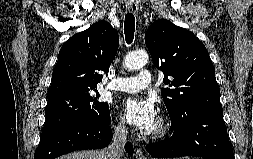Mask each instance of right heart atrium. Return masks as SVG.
Segmentation results:
<instances>
[{
  "label": "right heart atrium",
  "instance_id": "right-heart-atrium-1",
  "mask_svg": "<svg viewBox=\"0 0 253 159\" xmlns=\"http://www.w3.org/2000/svg\"><path fill=\"white\" fill-rule=\"evenodd\" d=\"M113 128L118 134H124L126 132V126L121 120H117L116 122H114Z\"/></svg>",
  "mask_w": 253,
  "mask_h": 159
}]
</instances>
